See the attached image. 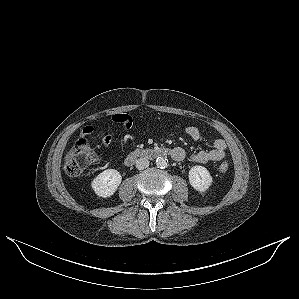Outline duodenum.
Here are the masks:
<instances>
[{
    "instance_id": "obj_1",
    "label": "duodenum",
    "mask_w": 299,
    "mask_h": 299,
    "mask_svg": "<svg viewBox=\"0 0 299 299\" xmlns=\"http://www.w3.org/2000/svg\"><path fill=\"white\" fill-rule=\"evenodd\" d=\"M175 150L168 147L161 148H142L131 152L126 156L124 163L126 166L131 167L139 158H157V157H174Z\"/></svg>"
}]
</instances>
